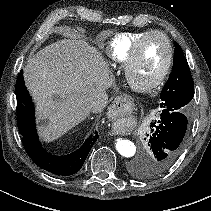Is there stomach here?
Returning <instances> with one entry per match:
<instances>
[{
  "label": "stomach",
  "mask_w": 211,
  "mask_h": 211,
  "mask_svg": "<svg viewBox=\"0 0 211 211\" xmlns=\"http://www.w3.org/2000/svg\"><path fill=\"white\" fill-rule=\"evenodd\" d=\"M133 110V103L127 97H120L112 105L111 115L113 117L128 116Z\"/></svg>",
  "instance_id": "stomach-1"
}]
</instances>
